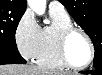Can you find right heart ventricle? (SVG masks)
<instances>
[{
  "instance_id": "right-heart-ventricle-1",
  "label": "right heart ventricle",
  "mask_w": 102,
  "mask_h": 75,
  "mask_svg": "<svg viewBox=\"0 0 102 75\" xmlns=\"http://www.w3.org/2000/svg\"><path fill=\"white\" fill-rule=\"evenodd\" d=\"M51 23L40 28L39 46L35 61L37 64L49 68L66 66L58 56L57 37L59 32L67 26L73 25L70 15L65 11L50 10Z\"/></svg>"
}]
</instances>
